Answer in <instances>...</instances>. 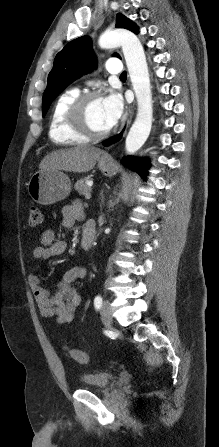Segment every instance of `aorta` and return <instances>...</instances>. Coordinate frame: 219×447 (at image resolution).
I'll use <instances>...</instances> for the list:
<instances>
[{"label":"aorta","mask_w":219,"mask_h":447,"mask_svg":"<svg viewBox=\"0 0 219 447\" xmlns=\"http://www.w3.org/2000/svg\"><path fill=\"white\" fill-rule=\"evenodd\" d=\"M98 43L103 49L121 46L123 50L138 107L125 141L127 153L133 154L145 143L152 127V94L146 56L137 36L125 29L105 31Z\"/></svg>","instance_id":"aorta-1"}]
</instances>
